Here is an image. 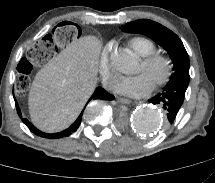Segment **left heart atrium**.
<instances>
[{
	"mask_svg": "<svg viewBox=\"0 0 215 183\" xmlns=\"http://www.w3.org/2000/svg\"><path fill=\"white\" fill-rule=\"evenodd\" d=\"M153 88V83L145 73L135 76L125 77L119 83L118 92L132 96L140 97L148 94Z\"/></svg>",
	"mask_w": 215,
	"mask_h": 183,
	"instance_id": "left-heart-atrium-1",
	"label": "left heart atrium"
}]
</instances>
